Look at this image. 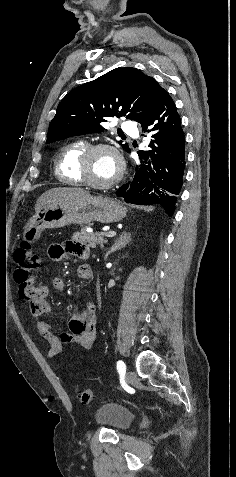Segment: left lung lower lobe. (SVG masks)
<instances>
[{
	"label": "left lung lower lobe",
	"mask_w": 236,
	"mask_h": 477,
	"mask_svg": "<svg viewBox=\"0 0 236 477\" xmlns=\"http://www.w3.org/2000/svg\"><path fill=\"white\" fill-rule=\"evenodd\" d=\"M142 130L151 133V150L138 152L141 164L131 182L116 195L128 203L159 204L171 215L183 183L185 135L176 106L165 89H161L156 107L142 124Z\"/></svg>",
	"instance_id": "0a47b994"
}]
</instances>
